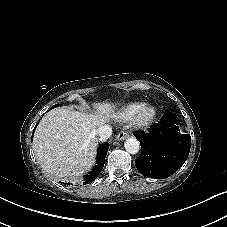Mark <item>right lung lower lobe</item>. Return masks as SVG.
<instances>
[{"mask_svg": "<svg viewBox=\"0 0 227 227\" xmlns=\"http://www.w3.org/2000/svg\"><path fill=\"white\" fill-rule=\"evenodd\" d=\"M37 126V125H36ZM36 126L33 130L32 133V138L36 129ZM108 147H109V143L108 142H104L102 143L98 149H97V159H96V164L94 166V168L92 169V171L89 172V174L87 176H85V184H89L91 182L94 181V179L100 174V172L103 169L104 166V162H105V157L108 151ZM69 184V183H68Z\"/></svg>", "mask_w": 227, "mask_h": 227, "instance_id": "98d812e1", "label": "right lung lower lobe"}]
</instances>
